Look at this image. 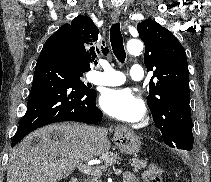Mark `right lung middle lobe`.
Instances as JSON below:
<instances>
[{
  "mask_svg": "<svg viewBox=\"0 0 211 182\" xmlns=\"http://www.w3.org/2000/svg\"><path fill=\"white\" fill-rule=\"evenodd\" d=\"M84 72H86V70H83V69H80L79 70V76H80V78L82 77V75H83ZM85 86L87 87L88 85H85Z\"/></svg>",
  "mask_w": 211,
  "mask_h": 182,
  "instance_id": "right-lung-middle-lobe-1",
  "label": "right lung middle lobe"
}]
</instances>
